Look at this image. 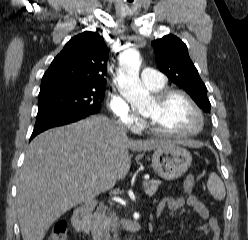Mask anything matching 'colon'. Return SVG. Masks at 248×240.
<instances>
[{
    "instance_id": "colon-1",
    "label": "colon",
    "mask_w": 248,
    "mask_h": 240,
    "mask_svg": "<svg viewBox=\"0 0 248 240\" xmlns=\"http://www.w3.org/2000/svg\"><path fill=\"white\" fill-rule=\"evenodd\" d=\"M195 186L194 176H188L183 184V190L186 194H191ZM46 240H67V224L65 221H58L54 224Z\"/></svg>"
}]
</instances>
